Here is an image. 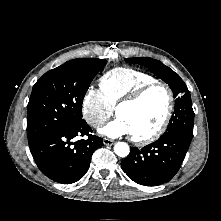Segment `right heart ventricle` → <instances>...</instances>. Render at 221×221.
<instances>
[{
    "mask_svg": "<svg viewBox=\"0 0 221 221\" xmlns=\"http://www.w3.org/2000/svg\"><path fill=\"white\" fill-rule=\"evenodd\" d=\"M155 81L151 75L130 67L107 71L99 80L100 90L114 108L117 103L139 87Z\"/></svg>",
    "mask_w": 221,
    "mask_h": 221,
    "instance_id": "e07e8e85",
    "label": "right heart ventricle"
}]
</instances>
